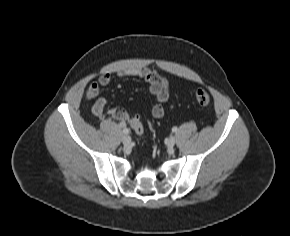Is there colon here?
<instances>
[{
  "label": "colon",
  "instance_id": "colon-1",
  "mask_svg": "<svg viewBox=\"0 0 290 236\" xmlns=\"http://www.w3.org/2000/svg\"><path fill=\"white\" fill-rule=\"evenodd\" d=\"M195 98L197 103L201 106H206L210 102V95L204 89H198L195 93ZM131 125L137 135L143 134L144 127L138 116H135L131 119Z\"/></svg>",
  "mask_w": 290,
  "mask_h": 236
}]
</instances>
